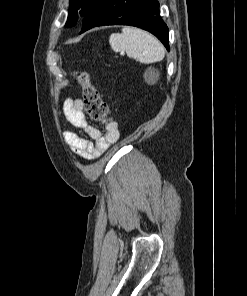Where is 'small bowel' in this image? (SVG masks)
I'll use <instances>...</instances> for the list:
<instances>
[{"label":"small bowel","mask_w":247,"mask_h":296,"mask_svg":"<svg viewBox=\"0 0 247 296\" xmlns=\"http://www.w3.org/2000/svg\"><path fill=\"white\" fill-rule=\"evenodd\" d=\"M63 113L75 128L89 138H83L71 131H65L63 134L65 142L72 152L86 160L100 156L118 140L117 123L109 118L107 132L102 134L100 130L89 123L84 102L79 98L66 99L63 103Z\"/></svg>","instance_id":"1"}]
</instances>
